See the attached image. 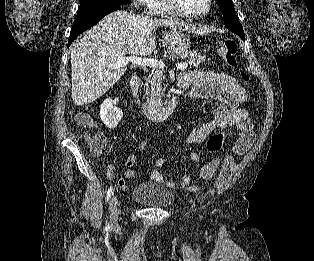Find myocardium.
Wrapping results in <instances>:
<instances>
[{
    "label": "myocardium",
    "instance_id": "myocardium-1",
    "mask_svg": "<svg viewBox=\"0 0 314 261\" xmlns=\"http://www.w3.org/2000/svg\"><path fill=\"white\" fill-rule=\"evenodd\" d=\"M167 7L174 13L186 17V18H191V19H198V18H202L204 16H206L207 14H209V12L211 11L212 7H213V0H208V4L207 7L204 11L200 12V13H190L186 10H184L178 3L177 0H164Z\"/></svg>",
    "mask_w": 314,
    "mask_h": 261
}]
</instances>
